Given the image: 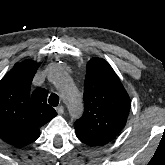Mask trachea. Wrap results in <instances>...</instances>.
Returning a JSON list of instances; mask_svg holds the SVG:
<instances>
[{
  "instance_id": "3493384b",
  "label": "trachea",
  "mask_w": 165,
  "mask_h": 165,
  "mask_svg": "<svg viewBox=\"0 0 165 165\" xmlns=\"http://www.w3.org/2000/svg\"><path fill=\"white\" fill-rule=\"evenodd\" d=\"M49 104L56 107L59 104V96L55 93H52L49 96V100H48Z\"/></svg>"
}]
</instances>
